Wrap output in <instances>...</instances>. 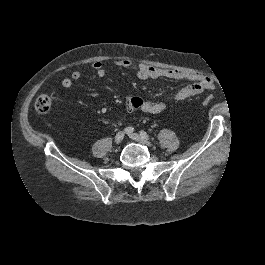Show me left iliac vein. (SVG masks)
<instances>
[{
  "instance_id": "4c4485c4",
  "label": "left iliac vein",
  "mask_w": 265,
  "mask_h": 265,
  "mask_svg": "<svg viewBox=\"0 0 265 265\" xmlns=\"http://www.w3.org/2000/svg\"><path fill=\"white\" fill-rule=\"evenodd\" d=\"M129 137L134 140V141H137V142H140L142 144H145V145H151V141L149 139V137H142L140 136L139 134L137 133H132V134H129Z\"/></svg>"
}]
</instances>
